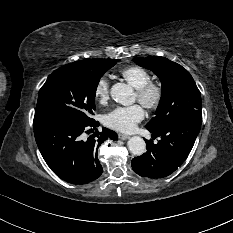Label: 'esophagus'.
<instances>
[{
  "label": "esophagus",
  "mask_w": 233,
  "mask_h": 233,
  "mask_svg": "<svg viewBox=\"0 0 233 233\" xmlns=\"http://www.w3.org/2000/svg\"><path fill=\"white\" fill-rule=\"evenodd\" d=\"M118 137H119V139H121V140H127V139L130 138V136L125 135V134H118Z\"/></svg>",
  "instance_id": "esophagus-1"
}]
</instances>
